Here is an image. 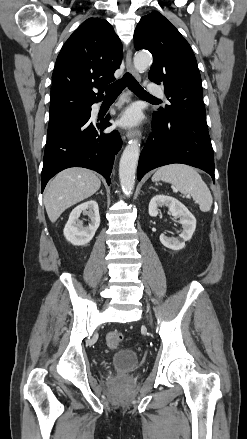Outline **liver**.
<instances>
[{
    "label": "liver",
    "mask_w": 247,
    "mask_h": 439,
    "mask_svg": "<svg viewBox=\"0 0 247 439\" xmlns=\"http://www.w3.org/2000/svg\"><path fill=\"white\" fill-rule=\"evenodd\" d=\"M101 185L96 174L86 168L73 167L58 173L44 193V205L52 223L69 207L89 198Z\"/></svg>",
    "instance_id": "1"
}]
</instances>
